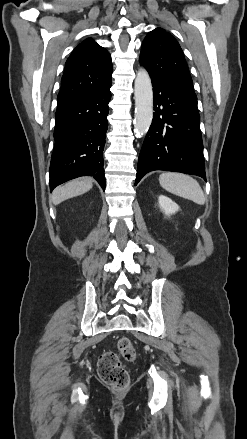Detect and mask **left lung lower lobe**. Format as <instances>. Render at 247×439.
<instances>
[{"label": "left lung lower lobe", "mask_w": 247, "mask_h": 439, "mask_svg": "<svg viewBox=\"0 0 247 439\" xmlns=\"http://www.w3.org/2000/svg\"><path fill=\"white\" fill-rule=\"evenodd\" d=\"M151 80L155 113L139 155L135 185L153 170L193 174L206 180L197 100Z\"/></svg>", "instance_id": "obj_1"}]
</instances>
